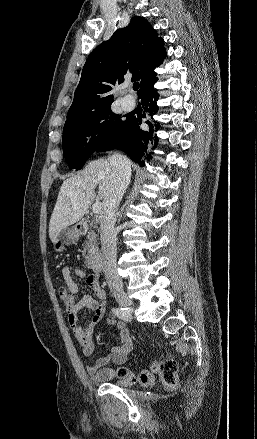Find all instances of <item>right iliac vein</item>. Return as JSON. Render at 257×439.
<instances>
[{
	"label": "right iliac vein",
	"mask_w": 257,
	"mask_h": 439,
	"mask_svg": "<svg viewBox=\"0 0 257 439\" xmlns=\"http://www.w3.org/2000/svg\"><path fill=\"white\" fill-rule=\"evenodd\" d=\"M113 295L120 306L131 310L132 301L125 292L117 291Z\"/></svg>",
	"instance_id": "obj_1"
}]
</instances>
